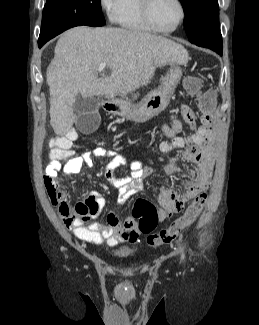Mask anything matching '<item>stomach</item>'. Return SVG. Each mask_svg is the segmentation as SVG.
Instances as JSON below:
<instances>
[{"instance_id":"obj_1","label":"stomach","mask_w":259,"mask_h":325,"mask_svg":"<svg viewBox=\"0 0 259 325\" xmlns=\"http://www.w3.org/2000/svg\"><path fill=\"white\" fill-rule=\"evenodd\" d=\"M182 70L177 65H172L165 75L160 87L151 91L138 104H130L122 100L108 102L104 109L112 115L126 117L135 122H145L158 115L169 104L170 97L179 84Z\"/></svg>"}]
</instances>
